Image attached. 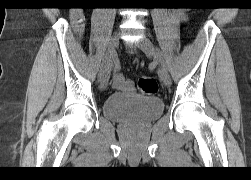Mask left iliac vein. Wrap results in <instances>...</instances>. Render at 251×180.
Here are the masks:
<instances>
[{"instance_id":"left-iliac-vein-1","label":"left iliac vein","mask_w":251,"mask_h":180,"mask_svg":"<svg viewBox=\"0 0 251 180\" xmlns=\"http://www.w3.org/2000/svg\"><path fill=\"white\" fill-rule=\"evenodd\" d=\"M138 46L149 58H153L155 61H157L154 46L150 39H148L147 37H144L141 41H139ZM158 75L161 82L164 85L166 86L171 85L170 75L165 68H162V67L159 68Z\"/></svg>"}]
</instances>
